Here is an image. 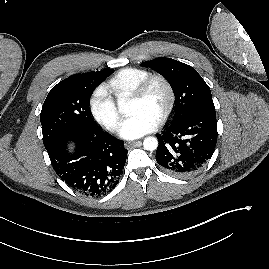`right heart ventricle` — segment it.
<instances>
[{
  "mask_svg": "<svg viewBox=\"0 0 269 269\" xmlns=\"http://www.w3.org/2000/svg\"><path fill=\"white\" fill-rule=\"evenodd\" d=\"M150 75L143 68L126 67L115 73L107 82L106 88L117 99L130 97L138 84Z\"/></svg>",
  "mask_w": 269,
  "mask_h": 269,
  "instance_id": "1",
  "label": "right heart ventricle"
}]
</instances>
